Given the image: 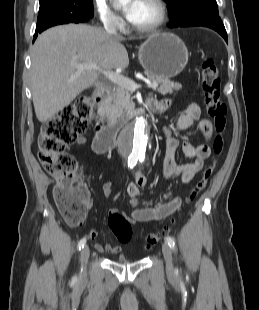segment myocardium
Listing matches in <instances>:
<instances>
[{
  "mask_svg": "<svg viewBox=\"0 0 259 310\" xmlns=\"http://www.w3.org/2000/svg\"><path fill=\"white\" fill-rule=\"evenodd\" d=\"M158 9L159 11V16L158 19L156 20L155 23L145 26V27H140L136 26L132 23H130L131 28L139 33H152L157 30H159L166 22L167 16H168V11H167V6L164 3L163 0H150Z\"/></svg>",
  "mask_w": 259,
  "mask_h": 310,
  "instance_id": "f54148a6",
  "label": "myocardium"
}]
</instances>
